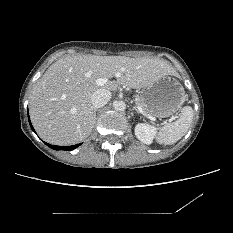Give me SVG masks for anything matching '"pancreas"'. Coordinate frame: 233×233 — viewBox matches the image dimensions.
<instances>
[{"label":"pancreas","instance_id":"cf45deb5","mask_svg":"<svg viewBox=\"0 0 233 233\" xmlns=\"http://www.w3.org/2000/svg\"><path fill=\"white\" fill-rule=\"evenodd\" d=\"M137 106H140L146 114H151L146 104L143 102L141 97H137L135 100Z\"/></svg>","mask_w":233,"mask_h":233}]
</instances>
